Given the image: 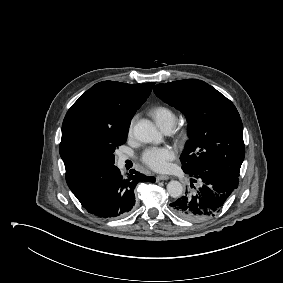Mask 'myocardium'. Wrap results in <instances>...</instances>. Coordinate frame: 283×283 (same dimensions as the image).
<instances>
[{
    "label": "myocardium",
    "instance_id": "myocardium-1",
    "mask_svg": "<svg viewBox=\"0 0 283 283\" xmlns=\"http://www.w3.org/2000/svg\"><path fill=\"white\" fill-rule=\"evenodd\" d=\"M184 135H185V133H184L183 131L179 133V137H180V138H183Z\"/></svg>",
    "mask_w": 283,
    "mask_h": 283
}]
</instances>
